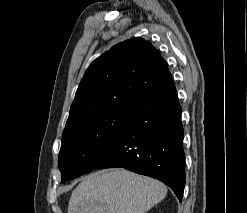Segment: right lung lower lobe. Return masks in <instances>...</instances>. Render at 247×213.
<instances>
[{
  "label": "right lung lower lobe",
  "instance_id": "right-lung-lower-lobe-1",
  "mask_svg": "<svg viewBox=\"0 0 247 213\" xmlns=\"http://www.w3.org/2000/svg\"><path fill=\"white\" fill-rule=\"evenodd\" d=\"M131 112L102 149L95 168L121 167L166 183L182 200L185 155L181 107L175 84L130 99Z\"/></svg>",
  "mask_w": 247,
  "mask_h": 213
}]
</instances>
